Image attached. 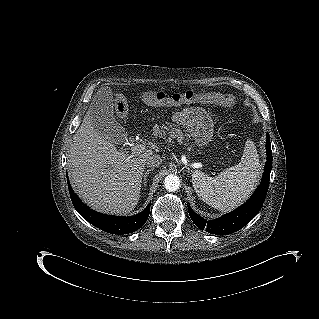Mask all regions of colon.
Returning a JSON list of instances; mask_svg holds the SVG:
<instances>
[{
    "instance_id": "obj_1",
    "label": "colon",
    "mask_w": 319,
    "mask_h": 319,
    "mask_svg": "<svg viewBox=\"0 0 319 319\" xmlns=\"http://www.w3.org/2000/svg\"><path fill=\"white\" fill-rule=\"evenodd\" d=\"M143 100L155 106H170L187 102H209L215 101L223 106L231 105V101L223 99L219 95L211 92H196L188 90L183 93L168 95L164 91L147 90L142 93ZM116 111L119 115H124L127 111V101L125 97L119 96L115 103Z\"/></svg>"
}]
</instances>
